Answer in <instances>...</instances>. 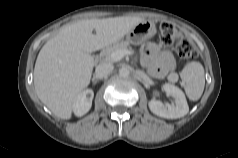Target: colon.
Masks as SVG:
<instances>
[{
    "label": "colon",
    "mask_w": 238,
    "mask_h": 158,
    "mask_svg": "<svg viewBox=\"0 0 238 158\" xmlns=\"http://www.w3.org/2000/svg\"><path fill=\"white\" fill-rule=\"evenodd\" d=\"M159 40L165 46L175 45L177 54L183 59H193L197 56L192 42L183 37L181 32L169 22H162L159 25Z\"/></svg>",
    "instance_id": "1"
}]
</instances>
